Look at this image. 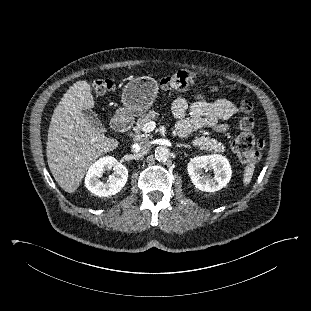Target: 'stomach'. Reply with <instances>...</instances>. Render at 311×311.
Returning <instances> with one entry per match:
<instances>
[{
  "label": "stomach",
  "instance_id": "obj_1",
  "mask_svg": "<svg viewBox=\"0 0 311 311\" xmlns=\"http://www.w3.org/2000/svg\"><path fill=\"white\" fill-rule=\"evenodd\" d=\"M158 92L157 82L150 77L137 78L130 81L123 89L120 108L116 115H140L153 104Z\"/></svg>",
  "mask_w": 311,
  "mask_h": 311
}]
</instances>
